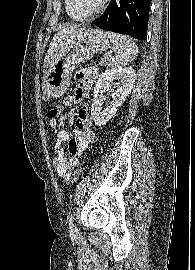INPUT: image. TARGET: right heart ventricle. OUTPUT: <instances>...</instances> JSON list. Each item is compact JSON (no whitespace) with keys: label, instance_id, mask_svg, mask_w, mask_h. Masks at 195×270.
I'll list each match as a JSON object with an SVG mask.
<instances>
[{"label":"right heart ventricle","instance_id":"1","mask_svg":"<svg viewBox=\"0 0 195 270\" xmlns=\"http://www.w3.org/2000/svg\"><path fill=\"white\" fill-rule=\"evenodd\" d=\"M64 6H65V10H66V13L67 15L73 19V20H76V21H82L84 20V18H82L81 16H79L78 14H76L70 7V4H69V0H64Z\"/></svg>","mask_w":195,"mask_h":270}]
</instances>
